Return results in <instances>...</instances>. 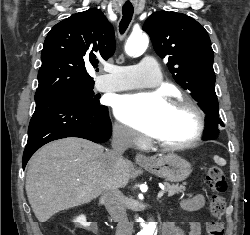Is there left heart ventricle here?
<instances>
[{"mask_svg":"<svg viewBox=\"0 0 250 235\" xmlns=\"http://www.w3.org/2000/svg\"><path fill=\"white\" fill-rule=\"evenodd\" d=\"M195 129L196 119L189 109L168 106L152 136L166 143H180L189 140Z\"/></svg>","mask_w":250,"mask_h":235,"instance_id":"1","label":"left heart ventricle"}]
</instances>
